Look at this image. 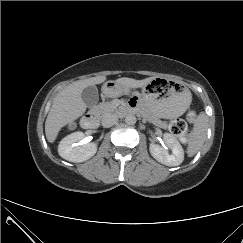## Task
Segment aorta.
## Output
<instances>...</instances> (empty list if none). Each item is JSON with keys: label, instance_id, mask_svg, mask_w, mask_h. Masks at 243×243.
Masks as SVG:
<instances>
[{"label": "aorta", "instance_id": "762f6f07", "mask_svg": "<svg viewBox=\"0 0 243 243\" xmlns=\"http://www.w3.org/2000/svg\"><path fill=\"white\" fill-rule=\"evenodd\" d=\"M137 119L135 117V115L133 114H129L125 117V122L128 125H134L136 123Z\"/></svg>", "mask_w": 243, "mask_h": 243}]
</instances>
